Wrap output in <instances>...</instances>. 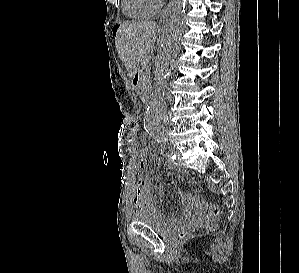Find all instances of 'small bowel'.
I'll list each match as a JSON object with an SVG mask.
<instances>
[{
  "mask_svg": "<svg viewBox=\"0 0 299 273\" xmlns=\"http://www.w3.org/2000/svg\"><path fill=\"white\" fill-rule=\"evenodd\" d=\"M147 158L148 149H142L139 155L138 163L135 165V169L140 171L143 170L147 164ZM180 195L184 204V213L187 219H194L202 213L203 205L196 197L185 192H181ZM164 198L165 190L163 187H159L157 199L159 202H162L164 201ZM133 202L136 210L152 209L158 211L148 177H140L138 179ZM160 214L162 215V213Z\"/></svg>",
  "mask_w": 299,
  "mask_h": 273,
  "instance_id": "obj_1",
  "label": "small bowel"
}]
</instances>
